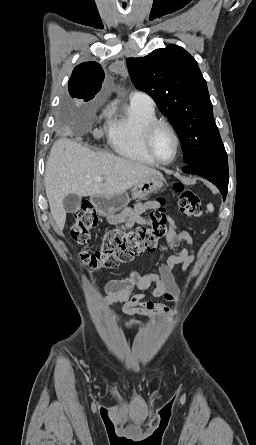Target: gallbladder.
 Segmentation results:
<instances>
[{
	"mask_svg": "<svg viewBox=\"0 0 256 445\" xmlns=\"http://www.w3.org/2000/svg\"><path fill=\"white\" fill-rule=\"evenodd\" d=\"M81 197L76 194H68L63 200V207L67 213L75 212L79 209Z\"/></svg>",
	"mask_w": 256,
	"mask_h": 445,
	"instance_id": "gallbladder-1",
	"label": "gallbladder"
}]
</instances>
